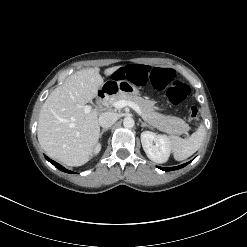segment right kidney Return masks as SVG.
Returning <instances> with one entry per match:
<instances>
[{"label":"right kidney","instance_id":"ca27d5eb","mask_svg":"<svg viewBox=\"0 0 247 247\" xmlns=\"http://www.w3.org/2000/svg\"><path fill=\"white\" fill-rule=\"evenodd\" d=\"M101 150V145L100 144H97L94 149H93V153L94 154H98Z\"/></svg>","mask_w":247,"mask_h":247}]
</instances>
